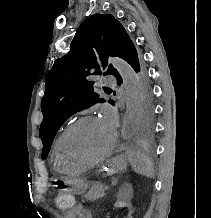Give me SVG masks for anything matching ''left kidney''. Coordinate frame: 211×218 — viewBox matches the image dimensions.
Segmentation results:
<instances>
[{
    "instance_id": "obj_1",
    "label": "left kidney",
    "mask_w": 211,
    "mask_h": 218,
    "mask_svg": "<svg viewBox=\"0 0 211 218\" xmlns=\"http://www.w3.org/2000/svg\"><path fill=\"white\" fill-rule=\"evenodd\" d=\"M135 203L131 202V198H120V202H116L114 205V210H122V215H135Z\"/></svg>"
}]
</instances>
